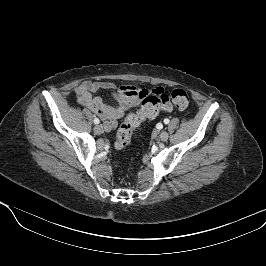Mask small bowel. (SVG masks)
<instances>
[{"label":"small bowel","mask_w":266,"mask_h":266,"mask_svg":"<svg viewBox=\"0 0 266 266\" xmlns=\"http://www.w3.org/2000/svg\"><path fill=\"white\" fill-rule=\"evenodd\" d=\"M99 90H107L112 94L114 104H107L94 96ZM163 91L162 88L153 90L139 89L130 85L117 86L109 81H84L75 89L77 101L82 106L99 116L104 121L106 130H113L117 126V120L125 113L137 106L146 93Z\"/></svg>","instance_id":"obj_1"}]
</instances>
